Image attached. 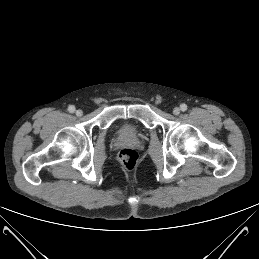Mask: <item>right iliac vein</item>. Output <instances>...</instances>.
I'll return each instance as SVG.
<instances>
[{
	"instance_id": "right-iliac-vein-1",
	"label": "right iliac vein",
	"mask_w": 259,
	"mask_h": 259,
	"mask_svg": "<svg viewBox=\"0 0 259 259\" xmlns=\"http://www.w3.org/2000/svg\"><path fill=\"white\" fill-rule=\"evenodd\" d=\"M82 114H83L82 110L79 109V110L76 111V115L78 117L82 116Z\"/></svg>"
}]
</instances>
